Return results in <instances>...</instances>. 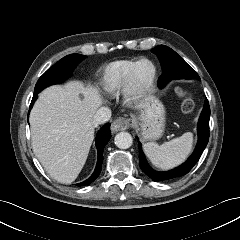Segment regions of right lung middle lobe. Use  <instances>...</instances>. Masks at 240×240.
I'll return each mask as SVG.
<instances>
[{
	"label": "right lung middle lobe",
	"instance_id": "right-lung-middle-lobe-1",
	"mask_svg": "<svg viewBox=\"0 0 240 240\" xmlns=\"http://www.w3.org/2000/svg\"><path fill=\"white\" fill-rule=\"evenodd\" d=\"M86 57L87 56L81 54H71L59 60L39 78L34 93H39L50 85L61 83L66 80L71 75L76 65Z\"/></svg>",
	"mask_w": 240,
	"mask_h": 240
}]
</instances>
